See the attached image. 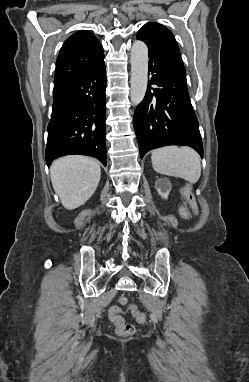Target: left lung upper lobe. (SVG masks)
Segmentation results:
<instances>
[{
    "label": "left lung upper lobe",
    "mask_w": 249,
    "mask_h": 382,
    "mask_svg": "<svg viewBox=\"0 0 249 382\" xmlns=\"http://www.w3.org/2000/svg\"><path fill=\"white\" fill-rule=\"evenodd\" d=\"M136 38L146 43L150 56L186 77L178 44L169 29L155 22L147 23L138 31Z\"/></svg>",
    "instance_id": "left-lung-upper-lobe-1"
}]
</instances>
